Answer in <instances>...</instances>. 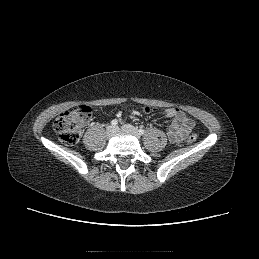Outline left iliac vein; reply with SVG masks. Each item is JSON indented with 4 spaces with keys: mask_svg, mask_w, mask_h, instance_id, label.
Segmentation results:
<instances>
[{
    "mask_svg": "<svg viewBox=\"0 0 259 259\" xmlns=\"http://www.w3.org/2000/svg\"><path fill=\"white\" fill-rule=\"evenodd\" d=\"M121 129H122L123 131H125V132H129V133L133 134V135L136 136L137 138H140V134H139V132L137 131V129H136L134 126L130 125V124H125V125H123Z\"/></svg>",
    "mask_w": 259,
    "mask_h": 259,
    "instance_id": "4c4485c4",
    "label": "left iliac vein"
}]
</instances>
